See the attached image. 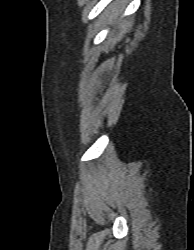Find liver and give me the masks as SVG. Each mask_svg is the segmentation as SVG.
Listing matches in <instances>:
<instances>
[{"label": "liver", "mask_w": 194, "mask_h": 250, "mask_svg": "<svg viewBox=\"0 0 194 250\" xmlns=\"http://www.w3.org/2000/svg\"><path fill=\"white\" fill-rule=\"evenodd\" d=\"M126 4L127 0H116L109 6L105 15L109 18L110 21L115 20L119 16V14L123 11Z\"/></svg>", "instance_id": "liver-1"}]
</instances>
